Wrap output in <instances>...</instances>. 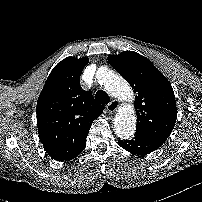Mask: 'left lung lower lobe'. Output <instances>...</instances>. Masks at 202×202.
Returning <instances> with one entry per match:
<instances>
[{"instance_id":"left-lung-lower-lobe-1","label":"left lung lower lobe","mask_w":202,"mask_h":202,"mask_svg":"<svg viewBox=\"0 0 202 202\" xmlns=\"http://www.w3.org/2000/svg\"><path fill=\"white\" fill-rule=\"evenodd\" d=\"M166 140L158 136L136 134L131 140H118V144L133 154L143 156L158 149Z\"/></svg>"}]
</instances>
